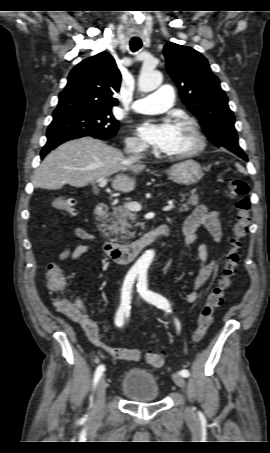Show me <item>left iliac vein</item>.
Masks as SVG:
<instances>
[{"label":"left iliac vein","mask_w":270,"mask_h":453,"mask_svg":"<svg viewBox=\"0 0 270 453\" xmlns=\"http://www.w3.org/2000/svg\"><path fill=\"white\" fill-rule=\"evenodd\" d=\"M172 379L174 381V383L180 387L182 390H185L186 388V383H185V379L183 376H181L180 374L178 373H173L172 374Z\"/></svg>","instance_id":"1"}]
</instances>
